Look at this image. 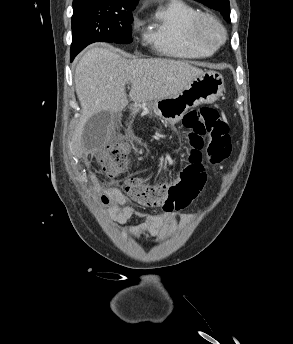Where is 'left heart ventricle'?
<instances>
[{
	"mask_svg": "<svg viewBox=\"0 0 293 344\" xmlns=\"http://www.w3.org/2000/svg\"><path fill=\"white\" fill-rule=\"evenodd\" d=\"M217 31L216 29L212 28V27H208L206 29V36L210 41H214L217 37Z\"/></svg>",
	"mask_w": 293,
	"mask_h": 344,
	"instance_id": "left-heart-ventricle-1",
	"label": "left heart ventricle"
}]
</instances>
